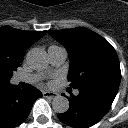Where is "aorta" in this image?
I'll return each mask as SVG.
<instances>
[{
  "label": "aorta",
  "instance_id": "obj_1",
  "mask_svg": "<svg viewBox=\"0 0 128 128\" xmlns=\"http://www.w3.org/2000/svg\"><path fill=\"white\" fill-rule=\"evenodd\" d=\"M26 62L35 70L45 69L48 66L47 53L41 49H32L26 55ZM52 108L56 113H65L69 109V101L64 96H55L52 101Z\"/></svg>",
  "mask_w": 128,
  "mask_h": 128
}]
</instances>
